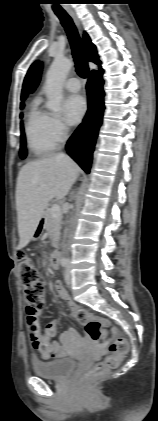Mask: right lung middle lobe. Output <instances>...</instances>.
<instances>
[{
	"mask_svg": "<svg viewBox=\"0 0 158 421\" xmlns=\"http://www.w3.org/2000/svg\"><path fill=\"white\" fill-rule=\"evenodd\" d=\"M23 107H24V105H21V108H23ZM21 117H22V115H21ZM21 130H22V134H21L20 157L22 159H24L26 157V155H27V151L25 149L26 142H25V135H24V132H23V126L22 125H21Z\"/></svg>",
	"mask_w": 158,
	"mask_h": 421,
	"instance_id": "1",
	"label": "right lung middle lobe"
}]
</instances>
